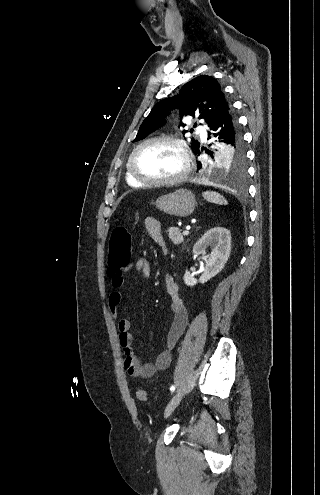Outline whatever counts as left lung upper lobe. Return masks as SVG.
<instances>
[{
    "label": "left lung upper lobe",
    "mask_w": 320,
    "mask_h": 495,
    "mask_svg": "<svg viewBox=\"0 0 320 495\" xmlns=\"http://www.w3.org/2000/svg\"><path fill=\"white\" fill-rule=\"evenodd\" d=\"M173 109H179L181 118L184 116L195 117V114L199 112L198 118L205 119L210 127L221 114L231 109V105L215 78L208 75L197 76L182 86L178 96L164 99L153 107L141 124L134 141L144 139L164 124L165 116ZM181 126L185 125L181 123ZM192 131L191 129L190 132ZM186 132L188 131H182V133ZM192 141L191 145L195 152H200L199 142L194 139ZM216 147L215 152L205 149V152L212 158L209 167L214 176L243 174L245 172V152L238 126L233 140L217 144ZM201 150L203 151L204 148Z\"/></svg>",
    "instance_id": "1"
}]
</instances>
